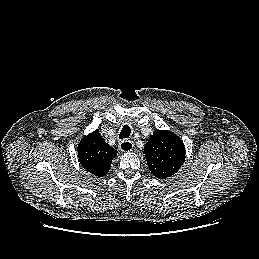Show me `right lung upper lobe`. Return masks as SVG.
Masks as SVG:
<instances>
[{
  "label": "right lung upper lobe",
  "mask_w": 259,
  "mask_h": 259,
  "mask_svg": "<svg viewBox=\"0 0 259 259\" xmlns=\"http://www.w3.org/2000/svg\"><path fill=\"white\" fill-rule=\"evenodd\" d=\"M78 157L83 168L102 177L108 173L117 151L108 145L98 130L85 136L78 145Z\"/></svg>",
  "instance_id": "obj_1"
}]
</instances>
